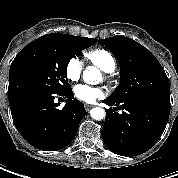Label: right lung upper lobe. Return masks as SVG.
<instances>
[{
	"label": "right lung upper lobe",
	"instance_id": "right-lung-upper-lobe-1",
	"mask_svg": "<svg viewBox=\"0 0 178 178\" xmlns=\"http://www.w3.org/2000/svg\"><path fill=\"white\" fill-rule=\"evenodd\" d=\"M47 35H51V36H61V37H75L73 35H66V34H47ZM97 40V39H95ZM98 41V40H97Z\"/></svg>",
	"mask_w": 178,
	"mask_h": 178
}]
</instances>
